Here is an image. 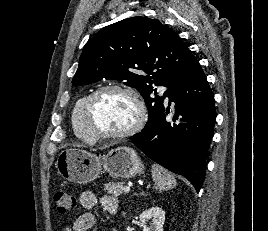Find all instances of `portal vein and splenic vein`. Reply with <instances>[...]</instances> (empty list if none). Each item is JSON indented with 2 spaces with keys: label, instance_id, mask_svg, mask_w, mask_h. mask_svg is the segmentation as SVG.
Returning <instances> with one entry per match:
<instances>
[{
  "label": "portal vein and splenic vein",
  "instance_id": "1",
  "mask_svg": "<svg viewBox=\"0 0 268 231\" xmlns=\"http://www.w3.org/2000/svg\"><path fill=\"white\" fill-rule=\"evenodd\" d=\"M124 191H125V192H129V191H130V186H125V187H124Z\"/></svg>",
  "mask_w": 268,
  "mask_h": 231
}]
</instances>
